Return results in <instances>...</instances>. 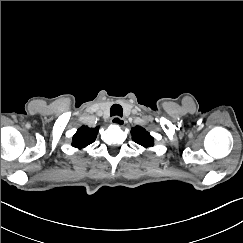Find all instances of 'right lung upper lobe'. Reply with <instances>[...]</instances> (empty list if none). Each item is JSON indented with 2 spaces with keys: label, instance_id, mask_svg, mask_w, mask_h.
<instances>
[{
  "label": "right lung upper lobe",
  "instance_id": "obj_1",
  "mask_svg": "<svg viewBox=\"0 0 243 243\" xmlns=\"http://www.w3.org/2000/svg\"><path fill=\"white\" fill-rule=\"evenodd\" d=\"M98 127L96 128H89L88 126L80 127L75 135L73 136V143L74 147L78 149L85 148L89 144L93 143L97 137Z\"/></svg>",
  "mask_w": 243,
  "mask_h": 243
}]
</instances>
